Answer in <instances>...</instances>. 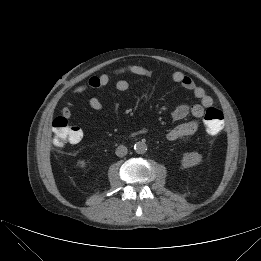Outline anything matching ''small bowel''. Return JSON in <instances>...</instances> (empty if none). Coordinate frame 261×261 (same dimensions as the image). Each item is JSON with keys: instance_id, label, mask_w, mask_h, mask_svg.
<instances>
[{"instance_id": "small-bowel-1", "label": "small bowel", "mask_w": 261, "mask_h": 261, "mask_svg": "<svg viewBox=\"0 0 261 261\" xmlns=\"http://www.w3.org/2000/svg\"><path fill=\"white\" fill-rule=\"evenodd\" d=\"M151 70L149 67L141 64L129 65L125 67L118 68L109 73H103L101 75L92 76L84 84L77 86L74 89V93L82 94L89 90L98 89L107 86L115 76H120L123 74H133L138 76L150 75ZM172 80L179 84L186 90L193 93L194 97L199 100V103L194 105L181 104L177 106L171 113L174 120L179 121L186 118L188 115H192L193 119L181 124L176 125L170 129L166 138L170 141H175L197 132L199 128V120L204 116L205 109L212 106L213 99L208 95L204 88L198 86L195 81L189 76L185 75L180 71L173 72L171 75ZM115 87L118 91L125 92L129 89V83L125 79H118L115 82ZM89 106L95 111L103 110V103L97 97H91L88 100ZM113 111L115 114L118 113V106L114 105ZM62 116L67 120L72 117V112L68 107L62 109ZM146 129H141L136 132V134L145 133Z\"/></svg>"}]
</instances>
